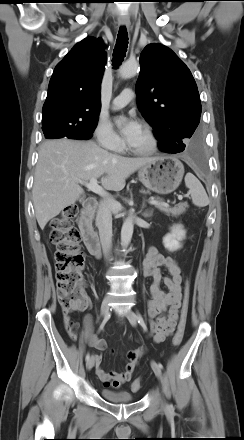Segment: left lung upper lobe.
<instances>
[{
	"mask_svg": "<svg viewBox=\"0 0 244 440\" xmlns=\"http://www.w3.org/2000/svg\"><path fill=\"white\" fill-rule=\"evenodd\" d=\"M138 108L164 152L185 149L200 122L201 102L188 67L169 48L149 44L140 55Z\"/></svg>",
	"mask_w": 244,
	"mask_h": 440,
	"instance_id": "5c2ea615",
	"label": "left lung upper lobe"
}]
</instances>
